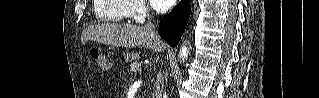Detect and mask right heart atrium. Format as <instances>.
I'll list each match as a JSON object with an SVG mask.
<instances>
[{"label":"right heart atrium","mask_w":319,"mask_h":98,"mask_svg":"<svg viewBox=\"0 0 319 98\" xmlns=\"http://www.w3.org/2000/svg\"><path fill=\"white\" fill-rule=\"evenodd\" d=\"M147 14H149V9L144 1H138L133 5L132 11H131V15L133 17L138 18L141 16H145Z\"/></svg>","instance_id":"right-heart-atrium-1"}]
</instances>
